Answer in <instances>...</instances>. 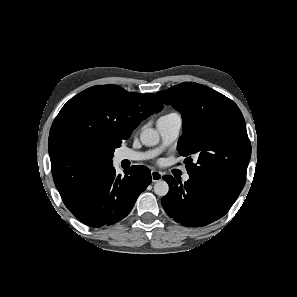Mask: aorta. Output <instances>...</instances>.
<instances>
[{
    "label": "aorta",
    "mask_w": 297,
    "mask_h": 297,
    "mask_svg": "<svg viewBox=\"0 0 297 297\" xmlns=\"http://www.w3.org/2000/svg\"><path fill=\"white\" fill-rule=\"evenodd\" d=\"M140 140L145 146H155L159 142V134L155 129L148 128L140 134ZM169 191V185L164 180H158L154 185V192L158 196H165Z\"/></svg>",
    "instance_id": "762f6f07"
}]
</instances>
